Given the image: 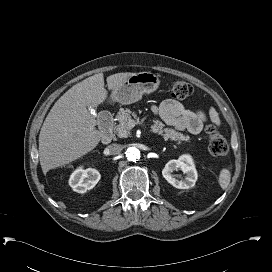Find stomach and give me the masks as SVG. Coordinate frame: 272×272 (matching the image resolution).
Masks as SVG:
<instances>
[{
  "label": "stomach",
  "instance_id": "0dacf381",
  "mask_svg": "<svg viewBox=\"0 0 272 272\" xmlns=\"http://www.w3.org/2000/svg\"><path fill=\"white\" fill-rule=\"evenodd\" d=\"M160 84L159 75L152 72L133 74L115 87L111 93L113 102L128 105L139 101L144 94L154 92Z\"/></svg>",
  "mask_w": 272,
  "mask_h": 272
}]
</instances>
